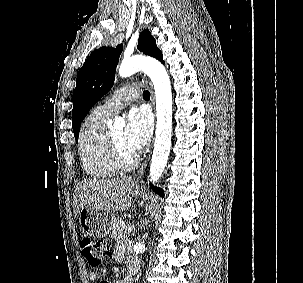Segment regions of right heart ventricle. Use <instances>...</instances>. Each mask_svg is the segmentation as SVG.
<instances>
[{
  "instance_id": "e07e8e85",
  "label": "right heart ventricle",
  "mask_w": 303,
  "mask_h": 283,
  "mask_svg": "<svg viewBox=\"0 0 303 283\" xmlns=\"http://www.w3.org/2000/svg\"><path fill=\"white\" fill-rule=\"evenodd\" d=\"M110 116L95 108L83 122L79 134V154L86 173L94 179H108L117 173L107 147L106 123Z\"/></svg>"
}]
</instances>
